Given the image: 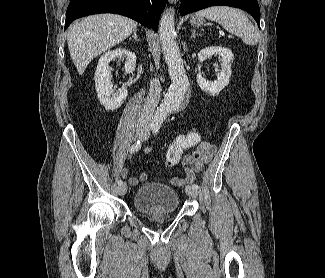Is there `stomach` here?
<instances>
[{
    "label": "stomach",
    "instance_id": "obj_1",
    "mask_svg": "<svg viewBox=\"0 0 325 278\" xmlns=\"http://www.w3.org/2000/svg\"><path fill=\"white\" fill-rule=\"evenodd\" d=\"M190 23L194 27H199L204 23V20L201 17L192 16L191 19H190Z\"/></svg>",
    "mask_w": 325,
    "mask_h": 278
}]
</instances>
